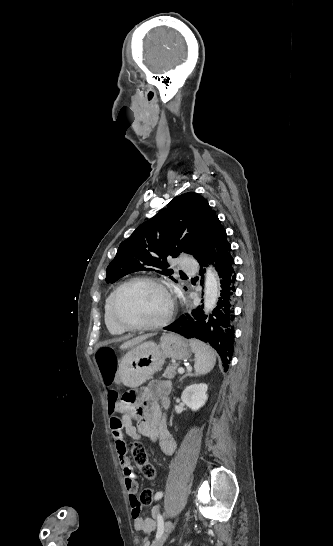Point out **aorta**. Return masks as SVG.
I'll return each mask as SVG.
<instances>
[{
    "label": "aorta",
    "instance_id": "762f6f07",
    "mask_svg": "<svg viewBox=\"0 0 333 546\" xmlns=\"http://www.w3.org/2000/svg\"><path fill=\"white\" fill-rule=\"evenodd\" d=\"M219 296V280L215 271L207 269L204 289V308L206 312L213 310Z\"/></svg>",
    "mask_w": 333,
    "mask_h": 546
}]
</instances>
